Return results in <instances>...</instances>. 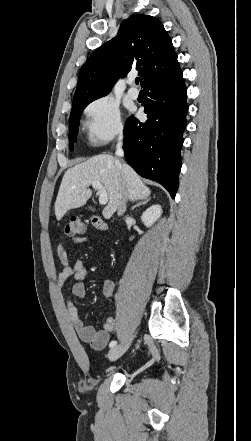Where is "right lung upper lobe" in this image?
<instances>
[{
    "label": "right lung upper lobe",
    "mask_w": 251,
    "mask_h": 441,
    "mask_svg": "<svg viewBox=\"0 0 251 441\" xmlns=\"http://www.w3.org/2000/svg\"><path fill=\"white\" fill-rule=\"evenodd\" d=\"M178 65L162 23L149 15H133L123 21L115 38L95 50L84 63L73 101L108 94L118 78L130 70L139 71L144 87Z\"/></svg>",
    "instance_id": "1"
}]
</instances>
